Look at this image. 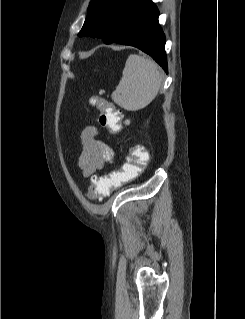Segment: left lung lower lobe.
Here are the masks:
<instances>
[{
	"mask_svg": "<svg viewBox=\"0 0 245 319\" xmlns=\"http://www.w3.org/2000/svg\"><path fill=\"white\" fill-rule=\"evenodd\" d=\"M158 16L156 5L149 0L132 14L113 42L141 49L167 72L165 36Z\"/></svg>",
	"mask_w": 245,
	"mask_h": 319,
	"instance_id": "obj_1",
	"label": "left lung lower lobe"
}]
</instances>
